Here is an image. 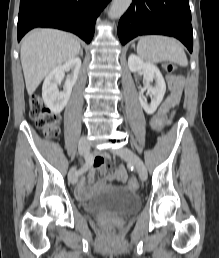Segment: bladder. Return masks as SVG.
Segmentation results:
<instances>
[{"instance_id":"bladder-1","label":"bladder","mask_w":219,"mask_h":258,"mask_svg":"<svg viewBox=\"0 0 219 258\" xmlns=\"http://www.w3.org/2000/svg\"><path fill=\"white\" fill-rule=\"evenodd\" d=\"M141 206V199L127 188L113 187L94 195L84 203V209L91 214L112 212L128 216Z\"/></svg>"}]
</instances>
